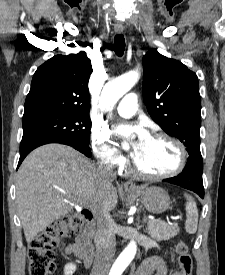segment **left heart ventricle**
Instances as JSON below:
<instances>
[{
	"instance_id": "obj_1",
	"label": "left heart ventricle",
	"mask_w": 225,
	"mask_h": 275,
	"mask_svg": "<svg viewBox=\"0 0 225 275\" xmlns=\"http://www.w3.org/2000/svg\"><path fill=\"white\" fill-rule=\"evenodd\" d=\"M135 161L142 171L161 174L175 168L178 153L167 140L149 137L140 147Z\"/></svg>"
}]
</instances>
